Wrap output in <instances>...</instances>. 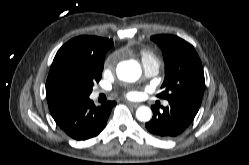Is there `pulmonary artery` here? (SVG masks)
<instances>
[{"label": "pulmonary artery", "instance_id": "e3ab8cb5", "mask_svg": "<svg viewBox=\"0 0 249 165\" xmlns=\"http://www.w3.org/2000/svg\"><path fill=\"white\" fill-rule=\"evenodd\" d=\"M143 68H144V74L146 77H152L155 76L158 73V64L153 61H143ZM102 93L101 90H97L94 92L93 96L97 97L99 94ZM164 105L167 106L168 102L164 101Z\"/></svg>", "mask_w": 249, "mask_h": 165}]
</instances>
